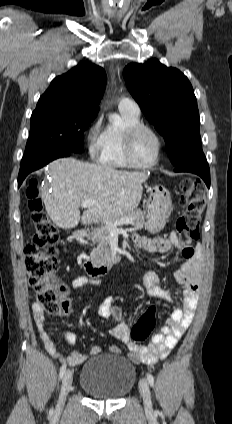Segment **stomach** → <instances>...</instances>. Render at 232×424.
<instances>
[{
	"label": "stomach",
	"mask_w": 232,
	"mask_h": 424,
	"mask_svg": "<svg viewBox=\"0 0 232 424\" xmlns=\"http://www.w3.org/2000/svg\"><path fill=\"white\" fill-rule=\"evenodd\" d=\"M173 209L169 191L160 185L149 188V202L147 214V229L155 234L161 231Z\"/></svg>",
	"instance_id": "1"
}]
</instances>
